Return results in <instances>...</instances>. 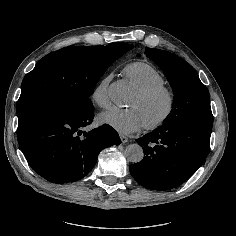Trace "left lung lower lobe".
Segmentation results:
<instances>
[{"mask_svg":"<svg viewBox=\"0 0 236 236\" xmlns=\"http://www.w3.org/2000/svg\"><path fill=\"white\" fill-rule=\"evenodd\" d=\"M212 124L184 122L161 126L136 141L144 158L131 164L133 178L153 190L176 188L203 164L209 152Z\"/></svg>","mask_w":236,"mask_h":236,"instance_id":"0a47b994","label":"left lung lower lobe"}]
</instances>
